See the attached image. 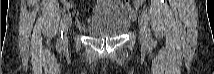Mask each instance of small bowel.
Masks as SVG:
<instances>
[{"label":"small bowel","instance_id":"small-bowel-1","mask_svg":"<svg viewBox=\"0 0 214 74\" xmlns=\"http://www.w3.org/2000/svg\"><path fill=\"white\" fill-rule=\"evenodd\" d=\"M140 5H136L134 8H132L128 3H124L123 5L118 1H98L95 8L93 7H87V10L89 13H95L98 11H103L109 8H117L121 7L123 10L127 13V15L131 18L137 16V10ZM70 8V6H67ZM73 15L75 17V22L77 27L81 31H86V25L83 21L82 14L79 10H74ZM94 19V17H90L88 20L91 22Z\"/></svg>","mask_w":214,"mask_h":74}]
</instances>
